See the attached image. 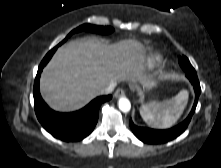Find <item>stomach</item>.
<instances>
[{
    "mask_svg": "<svg viewBox=\"0 0 221 168\" xmlns=\"http://www.w3.org/2000/svg\"><path fill=\"white\" fill-rule=\"evenodd\" d=\"M144 89H146V90H147V89H148V85H144Z\"/></svg>",
    "mask_w": 221,
    "mask_h": 168,
    "instance_id": "1",
    "label": "stomach"
}]
</instances>
